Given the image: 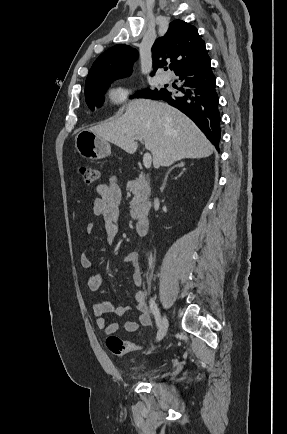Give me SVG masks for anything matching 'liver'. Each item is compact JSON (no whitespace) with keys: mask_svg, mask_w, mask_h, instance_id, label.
<instances>
[{"mask_svg":"<svg viewBox=\"0 0 287 434\" xmlns=\"http://www.w3.org/2000/svg\"><path fill=\"white\" fill-rule=\"evenodd\" d=\"M89 130L129 154L138 148L136 136L142 137L145 148L152 153L155 168L168 167L181 159L205 158L214 151V146L186 115L167 103L148 99L131 102L120 118Z\"/></svg>","mask_w":287,"mask_h":434,"instance_id":"1","label":"liver"}]
</instances>
